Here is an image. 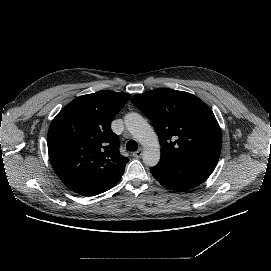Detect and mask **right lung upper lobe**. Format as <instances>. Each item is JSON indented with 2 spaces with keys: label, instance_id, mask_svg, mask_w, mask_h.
Instances as JSON below:
<instances>
[{
  "label": "right lung upper lobe",
  "instance_id": "right-lung-upper-lobe-1",
  "mask_svg": "<svg viewBox=\"0 0 271 271\" xmlns=\"http://www.w3.org/2000/svg\"><path fill=\"white\" fill-rule=\"evenodd\" d=\"M129 98L130 94L108 90L83 95L51 122L47 136L51 164L75 193L97 195L121 179L129 159L119 153V139L110 123Z\"/></svg>",
  "mask_w": 271,
  "mask_h": 271
}]
</instances>
